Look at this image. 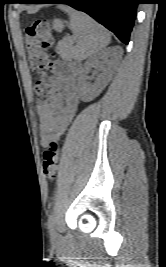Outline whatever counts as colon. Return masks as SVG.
Listing matches in <instances>:
<instances>
[{
  "label": "colon",
  "mask_w": 166,
  "mask_h": 267,
  "mask_svg": "<svg viewBox=\"0 0 166 267\" xmlns=\"http://www.w3.org/2000/svg\"><path fill=\"white\" fill-rule=\"evenodd\" d=\"M25 47L31 69L44 75L50 68L52 55L49 50L54 42V35L46 20L37 19L32 21L26 28ZM34 91L42 105L54 99L55 92L52 84L44 78L34 83ZM59 144L52 141L43 154V174L48 179H54L59 166Z\"/></svg>",
  "instance_id": "1"
}]
</instances>
